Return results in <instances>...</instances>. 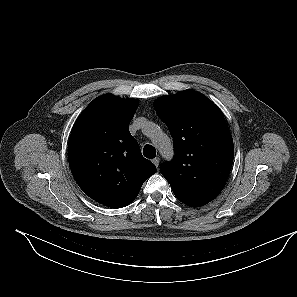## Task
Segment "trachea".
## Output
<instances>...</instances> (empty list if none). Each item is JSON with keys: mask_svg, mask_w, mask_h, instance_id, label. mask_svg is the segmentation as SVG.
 I'll use <instances>...</instances> for the list:
<instances>
[{"mask_svg": "<svg viewBox=\"0 0 297 297\" xmlns=\"http://www.w3.org/2000/svg\"><path fill=\"white\" fill-rule=\"evenodd\" d=\"M143 154L146 158L152 159L156 156V150L152 145H145L143 148Z\"/></svg>", "mask_w": 297, "mask_h": 297, "instance_id": "obj_1", "label": "trachea"}]
</instances>
